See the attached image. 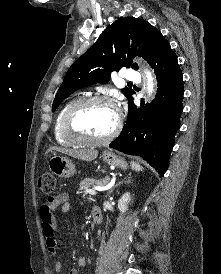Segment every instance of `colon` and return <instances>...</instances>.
Returning a JSON list of instances; mask_svg holds the SVG:
<instances>
[{
    "label": "colon",
    "instance_id": "1",
    "mask_svg": "<svg viewBox=\"0 0 221 274\" xmlns=\"http://www.w3.org/2000/svg\"><path fill=\"white\" fill-rule=\"evenodd\" d=\"M55 186L56 178L52 173L46 172L39 178V188L44 194H51L54 191Z\"/></svg>",
    "mask_w": 221,
    "mask_h": 274
}]
</instances>
